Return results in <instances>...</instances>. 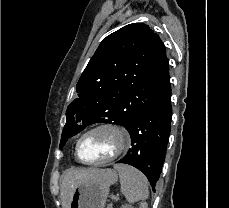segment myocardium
<instances>
[{
	"label": "myocardium",
	"instance_id": "f54148a6",
	"mask_svg": "<svg viewBox=\"0 0 229 208\" xmlns=\"http://www.w3.org/2000/svg\"><path fill=\"white\" fill-rule=\"evenodd\" d=\"M100 129H112V130H100ZM90 139H100L101 135H108L109 142L113 143L114 147H120V149L113 155L103 158L101 160H86L82 157L81 152L82 149L80 148V144L82 139L88 134ZM131 144V137L128 131L121 125L111 122H103L97 125H94L84 131L76 141L75 144V156L76 158L83 164L88 165H97L108 163L116 160L120 156H122Z\"/></svg>",
	"mask_w": 229,
	"mask_h": 208
}]
</instances>
